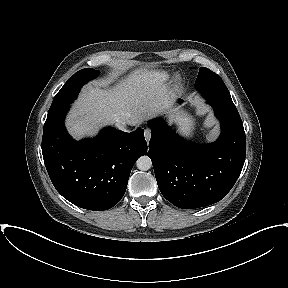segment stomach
Masks as SVG:
<instances>
[{"label": "stomach", "mask_w": 288, "mask_h": 288, "mask_svg": "<svg viewBox=\"0 0 288 288\" xmlns=\"http://www.w3.org/2000/svg\"><path fill=\"white\" fill-rule=\"evenodd\" d=\"M174 98L175 97L173 94L169 95L168 102H172ZM174 121L179 125V128L182 132L186 134H190L192 132L194 120L184 110L180 108L176 109V111L174 112Z\"/></svg>", "instance_id": "0dacf381"}]
</instances>
